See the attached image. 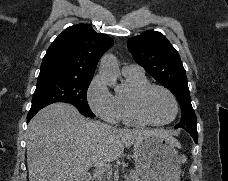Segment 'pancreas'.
<instances>
[{
  "label": "pancreas",
  "mask_w": 228,
  "mask_h": 181,
  "mask_svg": "<svg viewBox=\"0 0 228 181\" xmlns=\"http://www.w3.org/2000/svg\"><path fill=\"white\" fill-rule=\"evenodd\" d=\"M127 181H139V175L136 171H130L129 175H125Z\"/></svg>",
  "instance_id": "1"
}]
</instances>
